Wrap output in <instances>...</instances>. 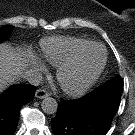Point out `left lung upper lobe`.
Masks as SVG:
<instances>
[{
  "label": "left lung upper lobe",
  "instance_id": "obj_1",
  "mask_svg": "<svg viewBox=\"0 0 135 135\" xmlns=\"http://www.w3.org/2000/svg\"><path fill=\"white\" fill-rule=\"evenodd\" d=\"M108 84H117V85H121L123 86V80L121 77H115L114 79H112L111 81L107 82Z\"/></svg>",
  "mask_w": 135,
  "mask_h": 135
}]
</instances>
